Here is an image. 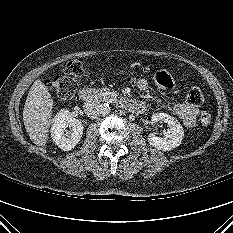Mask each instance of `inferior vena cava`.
<instances>
[{"label": "inferior vena cava", "instance_id": "1", "mask_svg": "<svg viewBox=\"0 0 233 233\" xmlns=\"http://www.w3.org/2000/svg\"><path fill=\"white\" fill-rule=\"evenodd\" d=\"M83 108L88 117L97 118L102 114L103 104H100L98 100H90L84 103Z\"/></svg>", "mask_w": 233, "mask_h": 233}]
</instances>
